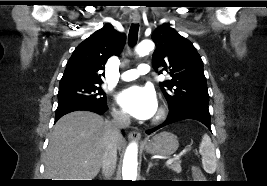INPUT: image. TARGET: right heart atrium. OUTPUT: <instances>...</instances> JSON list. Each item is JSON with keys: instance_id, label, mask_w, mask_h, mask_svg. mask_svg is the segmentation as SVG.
I'll use <instances>...</instances> for the list:
<instances>
[{"instance_id": "d8ad5b80", "label": "right heart atrium", "mask_w": 267, "mask_h": 186, "mask_svg": "<svg viewBox=\"0 0 267 186\" xmlns=\"http://www.w3.org/2000/svg\"><path fill=\"white\" fill-rule=\"evenodd\" d=\"M113 118L120 123H125L127 121V116L126 114L121 111L120 109H114L113 110Z\"/></svg>"}]
</instances>
